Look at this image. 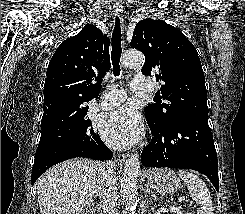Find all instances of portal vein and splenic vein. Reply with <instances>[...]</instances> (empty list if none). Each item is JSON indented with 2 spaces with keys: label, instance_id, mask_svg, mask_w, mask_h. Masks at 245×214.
Here are the masks:
<instances>
[{
  "label": "portal vein and splenic vein",
  "instance_id": "portal-vein-and-splenic-vein-1",
  "mask_svg": "<svg viewBox=\"0 0 245 214\" xmlns=\"http://www.w3.org/2000/svg\"><path fill=\"white\" fill-rule=\"evenodd\" d=\"M186 199H185V197H180L179 199H178V202H183V201H185Z\"/></svg>",
  "mask_w": 245,
  "mask_h": 214
}]
</instances>
